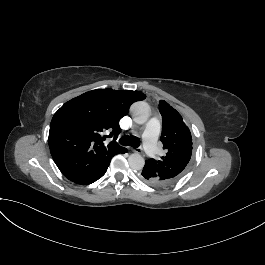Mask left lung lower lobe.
I'll use <instances>...</instances> for the list:
<instances>
[{"label":"left lung lower lobe","mask_w":265,"mask_h":265,"mask_svg":"<svg viewBox=\"0 0 265 265\" xmlns=\"http://www.w3.org/2000/svg\"><path fill=\"white\" fill-rule=\"evenodd\" d=\"M142 178L145 182L155 185V186H166V182L162 180V178L158 175V173L148 165V163H145V166L141 172Z\"/></svg>","instance_id":"obj_1"}]
</instances>
